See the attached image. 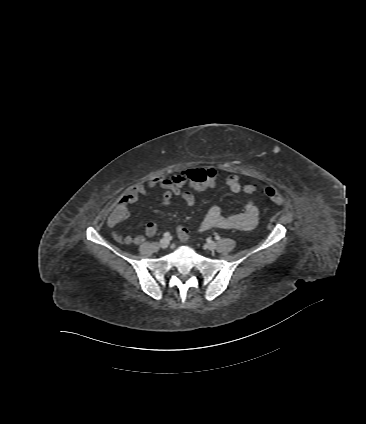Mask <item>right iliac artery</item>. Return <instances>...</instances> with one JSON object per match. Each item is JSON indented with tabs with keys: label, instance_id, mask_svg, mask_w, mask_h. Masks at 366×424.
<instances>
[{
	"label": "right iliac artery",
	"instance_id": "1",
	"mask_svg": "<svg viewBox=\"0 0 366 424\" xmlns=\"http://www.w3.org/2000/svg\"><path fill=\"white\" fill-rule=\"evenodd\" d=\"M165 238H168L169 236H170V233H168V232H166V233H164V235H163Z\"/></svg>",
	"mask_w": 366,
	"mask_h": 424
}]
</instances>
